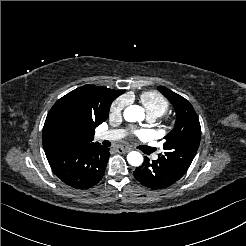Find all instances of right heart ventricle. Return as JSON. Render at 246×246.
Instances as JSON below:
<instances>
[{
  "label": "right heart ventricle",
  "instance_id": "1",
  "mask_svg": "<svg viewBox=\"0 0 246 246\" xmlns=\"http://www.w3.org/2000/svg\"><path fill=\"white\" fill-rule=\"evenodd\" d=\"M139 99L148 116L160 117L170 108L169 100L157 90L144 91L139 95Z\"/></svg>",
  "mask_w": 246,
  "mask_h": 246
}]
</instances>
